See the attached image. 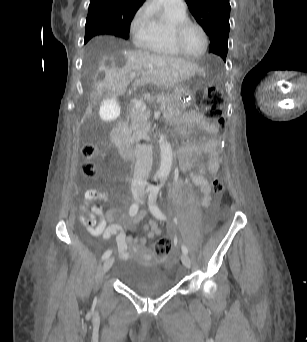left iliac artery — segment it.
I'll use <instances>...</instances> for the list:
<instances>
[{
	"label": "left iliac artery",
	"mask_w": 307,
	"mask_h": 342,
	"mask_svg": "<svg viewBox=\"0 0 307 342\" xmlns=\"http://www.w3.org/2000/svg\"><path fill=\"white\" fill-rule=\"evenodd\" d=\"M150 188V193H149V209L151 211V213L160 220H166L165 215L161 212V210L158 208V206L156 205V200H157V196L159 194L160 191V187L159 186H151ZM182 252L185 254H188V249L185 245H182L181 247Z\"/></svg>",
	"instance_id": "left-iliac-artery-1"
}]
</instances>
